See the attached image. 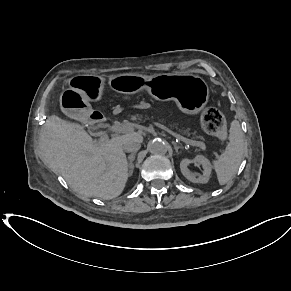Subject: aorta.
<instances>
[{"label": "aorta", "instance_id": "aorta-1", "mask_svg": "<svg viewBox=\"0 0 291 291\" xmlns=\"http://www.w3.org/2000/svg\"><path fill=\"white\" fill-rule=\"evenodd\" d=\"M149 151L154 155H164L168 151V145L161 140H154L148 145Z\"/></svg>", "mask_w": 291, "mask_h": 291}]
</instances>
